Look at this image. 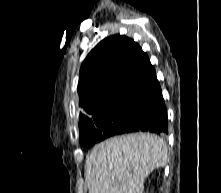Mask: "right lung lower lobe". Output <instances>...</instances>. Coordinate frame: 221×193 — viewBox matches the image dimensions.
I'll list each match as a JSON object with an SVG mask.
<instances>
[{
	"label": "right lung lower lobe",
	"instance_id": "98d812e1",
	"mask_svg": "<svg viewBox=\"0 0 221 193\" xmlns=\"http://www.w3.org/2000/svg\"><path fill=\"white\" fill-rule=\"evenodd\" d=\"M138 131L152 132L160 136H165V134L168 133L167 110L160 85L149 100L148 111L138 121L121 131L119 134Z\"/></svg>",
	"mask_w": 221,
	"mask_h": 193
}]
</instances>
